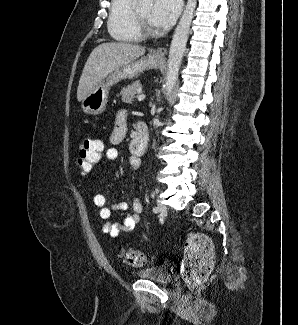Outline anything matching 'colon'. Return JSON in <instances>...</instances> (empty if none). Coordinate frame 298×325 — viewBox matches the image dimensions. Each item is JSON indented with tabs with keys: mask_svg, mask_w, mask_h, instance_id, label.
<instances>
[{
	"mask_svg": "<svg viewBox=\"0 0 298 325\" xmlns=\"http://www.w3.org/2000/svg\"><path fill=\"white\" fill-rule=\"evenodd\" d=\"M103 150L100 140L86 138L79 150L77 169L81 175L90 173L99 162ZM123 261L133 267H140L147 262V256L134 249L121 252ZM214 266V252L210 239L199 232L190 233L185 241L182 275L191 286L204 283Z\"/></svg>",
	"mask_w": 298,
	"mask_h": 325,
	"instance_id": "colon-1",
	"label": "colon"
}]
</instances>
